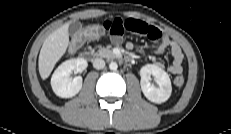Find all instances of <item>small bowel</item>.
<instances>
[{
  "label": "small bowel",
  "instance_id": "obj_1",
  "mask_svg": "<svg viewBox=\"0 0 231 134\" xmlns=\"http://www.w3.org/2000/svg\"><path fill=\"white\" fill-rule=\"evenodd\" d=\"M101 25L105 28L106 33L109 34L110 41L115 45L122 42V36L125 31L158 40L160 43L154 52L163 54L169 49L172 56V62L167 66V71L173 75L182 73L184 55L179 44L163 34L159 28L136 18L121 17L105 20ZM156 65L162 66L160 63H156Z\"/></svg>",
  "mask_w": 231,
  "mask_h": 134
}]
</instances>
